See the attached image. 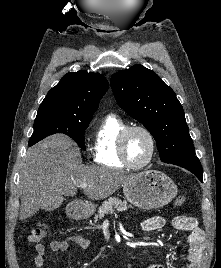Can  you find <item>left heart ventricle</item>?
<instances>
[{
  "label": "left heart ventricle",
  "mask_w": 221,
  "mask_h": 268,
  "mask_svg": "<svg viewBox=\"0 0 221 268\" xmlns=\"http://www.w3.org/2000/svg\"><path fill=\"white\" fill-rule=\"evenodd\" d=\"M129 160L134 164H141L149 156L151 145L148 137L141 131H133L126 142Z\"/></svg>",
  "instance_id": "b2bd125f"
}]
</instances>
